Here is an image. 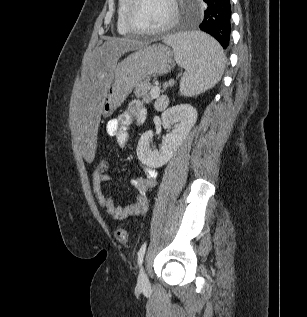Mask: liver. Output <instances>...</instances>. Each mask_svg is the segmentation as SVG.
<instances>
[{
    "label": "liver",
    "instance_id": "1",
    "mask_svg": "<svg viewBox=\"0 0 307 317\" xmlns=\"http://www.w3.org/2000/svg\"><path fill=\"white\" fill-rule=\"evenodd\" d=\"M143 46L144 42L129 38H108L83 69L70 104V128L77 141L75 148L82 149L80 158L86 162L95 158L102 101L117 61L124 53Z\"/></svg>",
    "mask_w": 307,
    "mask_h": 317
}]
</instances>
